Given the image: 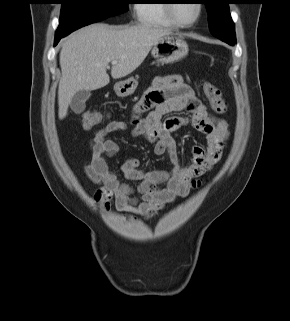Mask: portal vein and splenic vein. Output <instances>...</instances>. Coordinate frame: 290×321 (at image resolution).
<instances>
[{
  "label": "portal vein and splenic vein",
  "mask_w": 290,
  "mask_h": 321,
  "mask_svg": "<svg viewBox=\"0 0 290 321\" xmlns=\"http://www.w3.org/2000/svg\"><path fill=\"white\" fill-rule=\"evenodd\" d=\"M111 63H112V64H116V63H117V61L113 60Z\"/></svg>",
  "instance_id": "18ae733b"
}]
</instances>
